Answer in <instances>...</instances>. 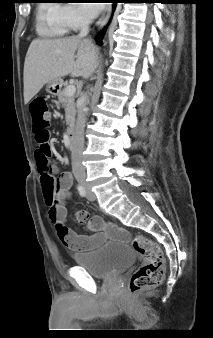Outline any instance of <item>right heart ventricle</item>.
I'll return each mask as SVG.
<instances>
[{
    "label": "right heart ventricle",
    "instance_id": "right-heart-ventricle-1",
    "mask_svg": "<svg viewBox=\"0 0 213 338\" xmlns=\"http://www.w3.org/2000/svg\"><path fill=\"white\" fill-rule=\"evenodd\" d=\"M62 7L45 3L40 6L38 14V32L47 37H58L66 34L69 28L62 20Z\"/></svg>",
    "mask_w": 213,
    "mask_h": 338
}]
</instances>
